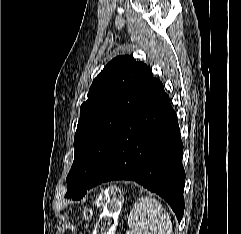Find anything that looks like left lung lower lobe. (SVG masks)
Returning <instances> with one entry per match:
<instances>
[{
  "mask_svg": "<svg viewBox=\"0 0 241 234\" xmlns=\"http://www.w3.org/2000/svg\"><path fill=\"white\" fill-rule=\"evenodd\" d=\"M180 129L168 95L154 78L128 114L87 190L111 180H133L164 198L180 222L185 171Z\"/></svg>",
  "mask_w": 241,
  "mask_h": 234,
  "instance_id": "left-lung-lower-lobe-1",
  "label": "left lung lower lobe"
}]
</instances>
